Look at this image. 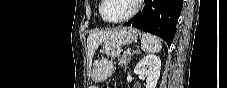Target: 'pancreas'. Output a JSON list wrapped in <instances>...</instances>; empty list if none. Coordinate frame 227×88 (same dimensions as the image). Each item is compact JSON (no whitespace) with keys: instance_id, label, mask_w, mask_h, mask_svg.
<instances>
[{"instance_id":"obj_1","label":"pancreas","mask_w":227,"mask_h":88,"mask_svg":"<svg viewBox=\"0 0 227 88\" xmlns=\"http://www.w3.org/2000/svg\"><path fill=\"white\" fill-rule=\"evenodd\" d=\"M128 61H129V59L125 53H123V55L119 58V64L121 66H126Z\"/></svg>"}]
</instances>
